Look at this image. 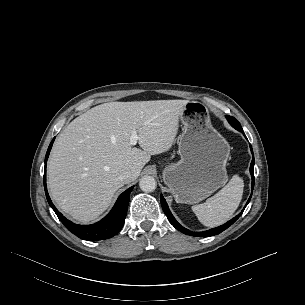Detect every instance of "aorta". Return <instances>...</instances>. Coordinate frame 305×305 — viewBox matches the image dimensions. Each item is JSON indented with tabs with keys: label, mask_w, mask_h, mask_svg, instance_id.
<instances>
[{
	"label": "aorta",
	"mask_w": 305,
	"mask_h": 305,
	"mask_svg": "<svg viewBox=\"0 0 305 305\" xmlns=\"http://www.w3.org/2000/svg\"><path fill=\"white\" fill-rule=\"evenodd\" d=\"M157 183L152 176H144L139 182V187L144 192H153L156 189Z\"/></svg>",
	"instance_id": "762f6f07"
}]
</instances>
